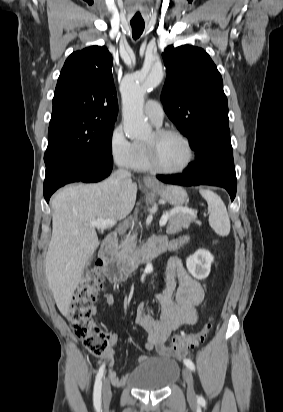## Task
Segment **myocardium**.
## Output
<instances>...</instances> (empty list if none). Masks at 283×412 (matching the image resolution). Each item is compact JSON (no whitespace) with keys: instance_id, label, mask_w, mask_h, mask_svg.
<instances>
[{"instance_id":"myocardium-1","label":"myocardium","mask_w":283,"mask_h":412,"mask_svg":"<svg viewBox=\"0 0 283 412\" xmlns=\"http://www.w3.org/2000/svg\"><path fill=\"white\" fill-rule=\"evenodd\" d=\"M153 135H154L155 139H158V138H161V137H164V136H169V135L178 138L186 146L188 156H187V159H186L185 163L180 168H177V169H164V168L160 167L159 164L157 163V160H156V157H155V143H154V141L145 142L144 147H145V152H146V158H147L148 164H149L152 171L157 172V173H161V174L174 175V174L183 173L184 171H186L191 166V164L194 160V149H193V146H192L191 142L189 141V139L184 134H182L181 132H179L175 129L157 128L153 132Z\"/></svg>"}]
</instances>
